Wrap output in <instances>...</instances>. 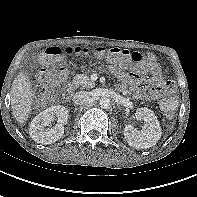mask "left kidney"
Wrapping results in <instances>:
<instances>
[{
    "mask_svg": "<svg viewBox=\"0 0 197 197\" xmlns=\"http://www.w3.org/2000/svg\"><path fill=\"white\" fill-rule=\"evenodd\" d=\"M135 116L137 120L144 121V125L141 130H137L132 125H127L124 128L126 141L130 146L138 149L154 146L162 135L156 115L147 107H141L137 109Z\"/></svg>",
    "mask_w": 197,
    "mask_h": 197,
    "instance_id": "left-kidney-1",
    "label": "left kidney"
}]
</instances>
